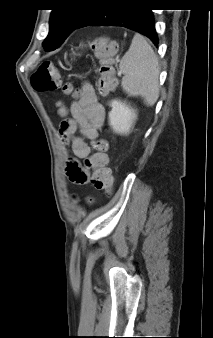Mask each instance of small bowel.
Masks as SVG:
<instances>
[{
	"label": "small bowel",
	"mask_w": 213,
	"mask_h": 338,
	"mask_svg": "<svg viewBox=\"0 0 213 338\" xmlns=\"http://www.w3.org/2000/svg\"><path fill=\"white\" fill-rule=\"evenodd\" d=\"M57 111L62 117H66L70 113L74 123L73 129L63 126L60 128L61 139L64 144L70 145L74 156L71 162L88 157L91 152L89 141L98 137V128L104 116V107L97 101L92 86L86 84L81 88L79 98L72 102L69 110L63 102H58ZM76 131H79L80 136H76ZM88 180V173L83 171L78 173L72 181L83 184Z\"/></svg>",
	"instance_id": "c3829d8e"
}]
</instances>
